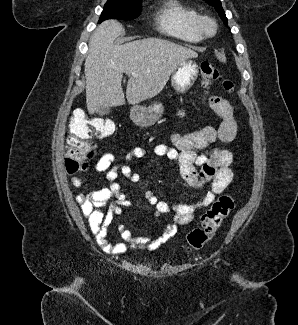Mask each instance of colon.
Segmentation results:
<instances>
[{"instance_id": "1", "label": "colon", "mask_w": 298, "mask_h": 325, "mask_svg": "<svg viewBox=\"0 0 298 325\" xmlns=\"http://www.w3.org/2000/svg\"><path fill=\"white\" fill-rule=\"evenodd\" d=\"M202 83L208 87L220 81L228 92L234 90L231 80L223 79L214 64L204 61L200 64ZM114 123L106 118L93 117L84 111L74 112L68 122V136L65 154V170L69 175L77 174L86 168L88 158L94 150V139L105 138L114 132ZM235 201L231 195L220 196L201 216V225L187 236L188 247L199 250L217 233L222 222L234 209Z\"/></svg>"}]
</instances>
